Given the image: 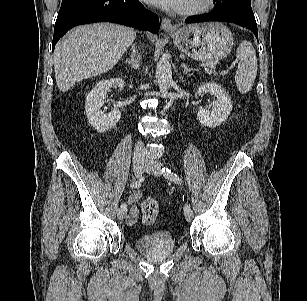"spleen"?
<instances>
[{
	"label": "spleen",
	"instance_id": "obj_1",
	"mask_svg": "<svg viewBox=\"0 0 307 301\" xmlns=\"http://www.w3.org/2000/svg\"><path fill=\"white\" fill-rule=\"evenodd\" d=\"M237 59L239 60L238 68L235 75V82L238 90L246 94L255 82L257 75V57L252 44L243 41L237 50Z\"/></svg>",
	"mask_w": 307,
	"mask_h": 301
}]
</instances>
